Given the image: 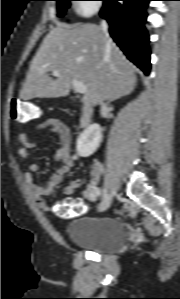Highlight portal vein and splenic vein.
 <instances>
[{"mask_svg": "<svg viewBox=\"0 0 180 299\" xmlns=\"http://www.w3.org/2000/svg\"><path fill=\"white\" fill-rule=\"evenodd\" d=\"M52 75L55 76V77H59L61 75V73L59 71H53ZM71 83L74 87V90L77 93L85 94L87 92V87L82 82H80L76 79H72Z\"/></svg>", "mask_w": 180, "mask_h": 299, "instance_id": "1", "label": "portal vein and splenic vein"}]
</instances>
